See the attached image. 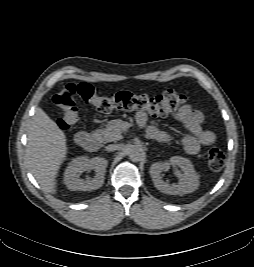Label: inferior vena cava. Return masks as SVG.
<instances>
[{
    "label": "inferior vena cava",
    "mask_w": 254,
    "mask_h": 267,
    "mask_svg": "<svg viewBox=\"0 0 254 267\" xmlns=\"http://www.w3.org/2000/svg\"><path fill=\"white\" fill-rule=\"evenodd\" d=\"M117 149H118V146L115 145V144H111V145H108V146L106 147V150H107V151H114V150H117Z\"/></svg>",
    "instance_id": "obj_1"
}]
</instances>
